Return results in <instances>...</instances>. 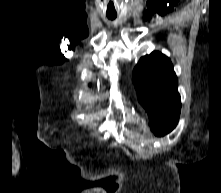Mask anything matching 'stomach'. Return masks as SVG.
<instances>
[{
    "label": "stomach",
    "instance_id": "0dacf381",
    "mask_svg": "<svg viewBox=\"0 0 221 193\" xmlns=\"http://www.w3.org/2000/svg\"><path fill=\"white\" fill-rule=\"evenodd\" d=\"M120 101H121V104H120L121 107H125V109H132V107H133L132 104H128V102H122V101H123L122 99H121ZM139 133H140V134H145V133H146V130H145V129H140V130H139ZM152 137H153V138H158V137H159V134H158V133H153V134H152Z\"/></svg>",
    "mask_w": 221,
    "mask_h": 193
}]
</instances>
